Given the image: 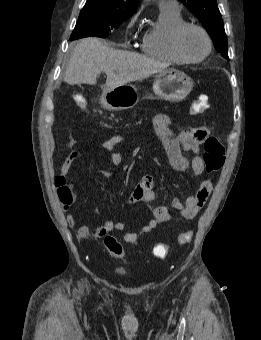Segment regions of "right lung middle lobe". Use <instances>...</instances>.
<instances>
[{
    "label": "right lung middle lobe",
    "mask_w": 261,
    "mask_h": 340,
    "mask_svg": "<svg viewBox=\"0 0 261 340\" xmlns=\"http://www.w3.org/2000/svg\"><path fill=\"white\" fill-rule=\"evenodd\" d=\"M128 17L102 8L84 6L70 40L87 36L106 38L110 35L111 30L118 28L122 21Z\"/></svg>",
    "instance_id": "1"
}]
</instances>
